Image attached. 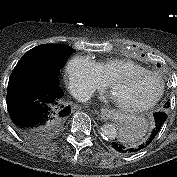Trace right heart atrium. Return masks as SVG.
<instances>
[{"label":"right heart atrium","instance_id":"d8ad5b80","mask_svg":"<svg viewBox=\"0 0 177 177\" xmlns=\"http://www.w3.org/2000/svg\"><path fill=\"white\" fill-rule=\"evenodd\" d=\"M70 90L79 98L91 96L107 86L94 61L85 56H74L66 67Z\"/></svg>","mask_w":177,"mask_h":177}]
</instances>
